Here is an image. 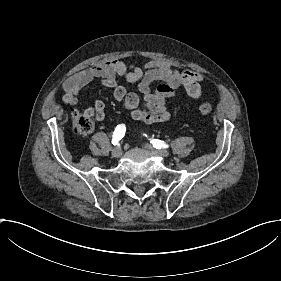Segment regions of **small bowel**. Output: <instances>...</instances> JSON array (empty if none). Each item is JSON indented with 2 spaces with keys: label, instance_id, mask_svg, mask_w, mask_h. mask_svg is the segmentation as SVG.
<instances>
[{
  "label": "small bowel",
  "instance_id": "small-bowel-1",
  "mask_svg": "<svg viewBox=\"0 0 281 281\" xmlns=\"http://www.w3.org/2000/svg\"><path fill=\"white\" fill-rule=\"evenodd\" d=\"M120 77L131 83H139L144 96L141 105L137 94L128 92L118 84ZM95 81L111 88L113 98L123 102L134 119L145 123H163L170 119L166 101L172 99L179 88H183L193 99H200L203 95L200 86L202 75L198 71L180 73L157 60L148 61L144 67L130 65L122 60H109L69 78L62 87L64 100L77 108L81 90ZM155 81H161L162 84L156 91H151L149 86ZM105 111L106 105L101 99L95 100L94 110L85 109L87 115H95L97 120L103 119Z\"/></svg>",
  "mask_w": 281,
  "mask_h": 281
}]
</instances>
